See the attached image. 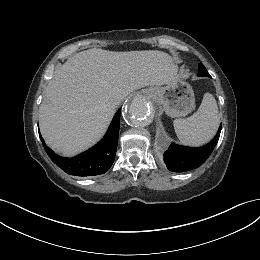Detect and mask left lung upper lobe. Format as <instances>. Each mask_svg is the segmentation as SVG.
I'll return each instance as SVG.
<instances>
[{
    "label": "left lung upper lobe",
    "mask_w": 260,
    "mask_h": 260,
    "mask_svg": "<svg viewBox=\"0 0 260 260\" xmlns=\"http://www.w3.org/2000/svg\"><path fill=\"white\" fill-rule=\"evenodd\" d=\"M198 76H210L206 68L202 65L199 64V73Z\"/></svg>",
    "instance_id": "obj_1"
}]
</instances>
